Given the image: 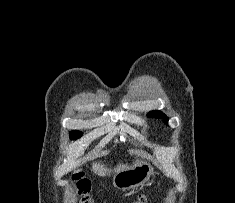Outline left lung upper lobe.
<instances>
[{
	"mask_svg": "<svg viewBox=\"0 0 235 203\" xmlns=\"http://www.w3.org/2000/svg\"><path fill=\"white\" fill-rule=\"evenodd\" d=\"M147 116H153V117H155V118H165V122H168V118L166 117V115L165 114H163L161 111H157V110H155V111H151V112H149L148 114H147Z\"/></svg>",
	"mask_w": 235,
	"mask_h": 203,
	"instance_id": "left-lung-upper-lobe-1",
	"label": "left lung upper lobe"
}]
</instances>
